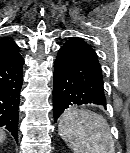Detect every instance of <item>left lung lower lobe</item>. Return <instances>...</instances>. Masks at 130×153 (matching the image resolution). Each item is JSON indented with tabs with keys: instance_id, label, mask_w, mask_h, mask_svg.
Listing matches in <instances>:
<instances>
[{
	"instance_id": "obj_1",
	"label": "left lung lower lobe",
	"mask_w": 130,
	"mask_h": 153,
	"mask_svg": "<svg viewBox=\"0 0 130 153\" xmlns=\"http://www.w3.org/2000/svg\"><path fill=\"white\" fill-rule=\"evenodd\" d=\"M94 103L106 108L101 65L96 52L79 38H70L54 63V121L73 104Z\"/></svg>"
}]
</instances>
